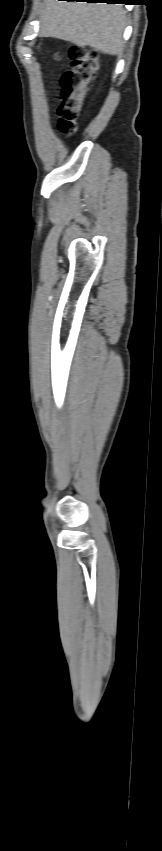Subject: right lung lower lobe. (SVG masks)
Returning <instances> with one entry per match:
<instances>
[{
	"label": "right lung lower lobe",
	"instance_id": "98d812e1",
	"mask_svg": "<svg viewBox=\"0 0 162 851\" xmlns=\"http://www.w3.org/2000/svg\"><path fill=\"white\" fill-rule=\"evenodd\" d=\"M67 1H86V2H97V3L103 2V3H108V4H119V3L127 4V2L131 1V0H67Z\"/></svg>",
	"mask_w": 162,
	"mask_h": 851
}]
</instances>
